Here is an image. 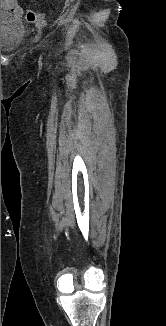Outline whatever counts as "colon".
<instances>
[{"instance_id": "obj_1", "label": "colon", "mask_w": 166, "mask_h": 326, "mask_svg": "<svg viewBox=\"0 0 166 326\" xmlns=\"http://www.w3.org/2000/svg\"><path fill=\"white\" fill-rule=\"evenodd\" d=\"M26 20L31 23L41 24L44 20V14L37 11H27L26 12Z\"/></svg>"}]
</instances>
